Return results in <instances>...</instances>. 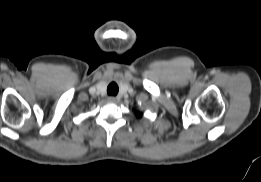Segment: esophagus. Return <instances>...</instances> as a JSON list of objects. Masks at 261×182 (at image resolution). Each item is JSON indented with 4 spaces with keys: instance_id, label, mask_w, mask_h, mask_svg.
Here are the masks:
<instances>
[{
    "instance_id": "1",
    "label": "esophagus",
    "mask_w": 261,
    "mask_h": 182,
    "mask_svg": "<svg viewBox=\"0 0 261 182\" xmlns=\"http://www.w3.org/2000/svg\"><path fill=\"white\" fill-rule=\"evenodd\" d=\"M108 101L111 102V103H115L116 98L114 96H110V97H108Z\"/></svg>"
}]
</instances>
